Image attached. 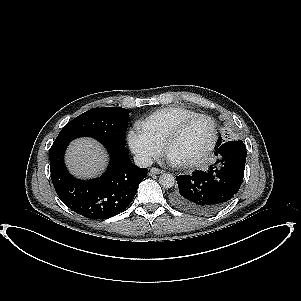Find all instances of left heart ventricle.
I'll use <instances>...</instances> for the list:
<instances>
[{
	"instance_id": "1",
	"label": "left heart ventricle",
	"mask_w": 301,
	"mask_h": 301,
	"mask_svg": "<svg viewBox=\"0 0 301 301\" xmlns=\"http://www.w3.org/2000/svg\"><path fill=\"white\" fill-rule=\"evenodd\" d=\"M211 136L210 123L206 120H196L172 142L168 153L180 158L184 163L196 160L206 151Z\"/></svg>"
}]
</instances>
